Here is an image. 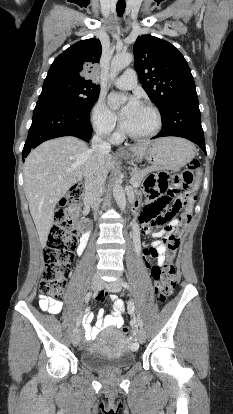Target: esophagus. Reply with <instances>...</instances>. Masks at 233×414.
I'll return each mask as SVG.
<instances>
[{
	"mask_svg": "<svg viewBox=\"0 0 233 414\" xmlns=\"http://www.w3.org/2000/svg\"><path fill=\"white\" fill-rule=\"evenodd\" d=\"M116 153H117L118 155H123V154H125V150H124L122 147H120V148H118V149L116 150Z\"/></svg>",
	"mask_w": 233,
	"mask_h": 414,
	"instance_id": "obj_1",
	"label": "esophagus"
}]
</instances>
